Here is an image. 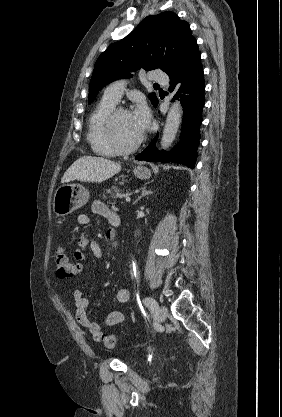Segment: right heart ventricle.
I'll list each match as a JSON object with an SVG mask.
<instances>
[{"label": "right heart ventricle", "mask_w": 282, "mask_h": 417, "mask_svg": "<svg viewBox=\"0 0 282 417\" xmlns=\"http://www.w3.org/2000/svg\"><path fill=\"white\" fill-rule=\"evenodd\" d=\"M117 102L105 97L101 99L89 120L88 139L92 148L101 155H112L116 151L108 144L106 137L100 132L99 125L106 115L116 107Z\"/></svg>", "instance_id": "1"}]
</instances>
